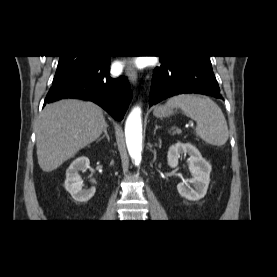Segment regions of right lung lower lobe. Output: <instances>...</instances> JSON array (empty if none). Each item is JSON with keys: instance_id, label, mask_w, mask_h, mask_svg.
<instances>
[{"instance_id": "1", "label": "right lung lower lobe", "mask_w": 277, "mask_h": 277, "mask_svg": "<svg viewBox=\"0 0 277 277\" xmlns=\"http://www.w3.org/2000/svg\"><path fill=\"white\" fill-rule=\"evenodd\" d=\"M110 57H103L93 66L53 84L44 105L62 98H80L95 102L116 120H122L132 98L126 77L109 75Z\"/></svg>"}]
</instances>
